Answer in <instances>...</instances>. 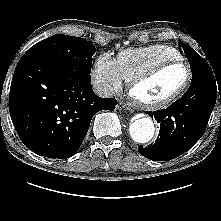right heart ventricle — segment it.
I'll list each match as a JSON object with an SVG mask.
<instances>
[{"label": "right heart ventricle", "instance_id": "e07e8e85", "mask_svg": "<svg viewBox=\"0 0 221 221\" xmlns=\"http://www.w3.org/2000/svg\"><path fill=\"white\" fill-rule=\"evenodd\" d=\"M174 59H183L179 50L165 44H154L123 50L118 54L116 62L122 78L130 82L151 67Z\"/></svg>", "mask_w": 221, "mask_h": 221}]
</instances>
